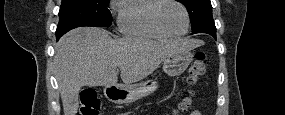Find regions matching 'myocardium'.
<instances>
[{
	"mask_svg": "<svg viewBox=\"0 0 285 115\" xmlns=\"http://www.w3.org/2000/svg\"><path fill=\"white\" fill-rule=\"evenodd\" d=\"M175 3L177 5H179L183 12H184V15H185V19H186V28L183 32L179 33V34H174V33H171L169 32L163 25L162 23L160 22V19H159V10L161 8V6L165 3ZM152 20H153V23L154 25L162 32L164 33L166 36H168L169 38H180V37H183L185 36L189 29H190V14L187 10V8L185 7V5L180 2V1H176V0H158L157 1V4L153 10V15H152Z\"/></svg>",
	"mask_w": 285,
	"mask_h": 115,
	"instance_id": "f54148a6",
	"label": "myocardium"
}]
</instances>
